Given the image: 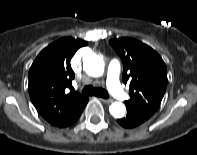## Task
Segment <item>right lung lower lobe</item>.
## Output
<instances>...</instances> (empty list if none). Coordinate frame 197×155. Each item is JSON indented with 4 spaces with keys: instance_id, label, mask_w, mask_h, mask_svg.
Returning <instances> with one entry per match:
<instances>
[{
    "instance_id": "obj_1",
    "label": "right lung lower lobe",
    "mask_w": 197,
    "mask_h": 155,
    "mask_svg": "<svg viewBox=\"0 0 197 155\" xmlns=\"http://www.w3.org/2000/svg\"><path fill=\"white\" fill-rule=\"evenodd\" d=\"M87 102H88V100H87ZM87 102H86V103L81 107V109L75 114V116L71 119V121L68 123L67 126L73 124V123L80 117V115H81L82 111L84 110V108H85Z\"/></svg>"
}]
</instances>
